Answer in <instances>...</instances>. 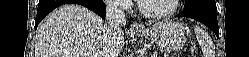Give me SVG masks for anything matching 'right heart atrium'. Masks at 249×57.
Segmentation results:
<instances>
[{
	"label": "right heart atrium",
	"mask_w": 249,
	"mask_h": 57,
	"mask_svg": "<svg viewBox=\"0 0 249 57\" xmlns=\"http://www.w3.org/2000/svg\"><path fill=\"white\" fill-rule=\"evenodd\" d=\"M106 4L109 9H113L118 12H125L131 9V2L128 0H107Z\"/></svg>",
	"instance_id": "1"
}]
</instances>
